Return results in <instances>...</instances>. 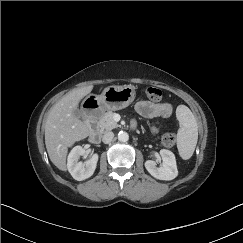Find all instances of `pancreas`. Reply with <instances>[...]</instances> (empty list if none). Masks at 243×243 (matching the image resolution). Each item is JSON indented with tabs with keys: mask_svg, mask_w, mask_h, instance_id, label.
I'll use <instances>...</instances> for the list:
<instances>
[{
	"mask_svg": "<svg viewBox=\"0 0 243 243\" xmlns=\"http://www.w3.org/2000/svg\"><path fill=\"white\" fill-rule=\"evenodd\" d=\"M114 112L107 111L102 118L99 120L98 124L101 131H110L114 128L119 127V124L113 119Z\"/></svg>",
	"mask_w": 243,
	"mask_h": 243,
	"instance_id": "pancreas-1",
	"label": "pancreas"
}]
</instances>
